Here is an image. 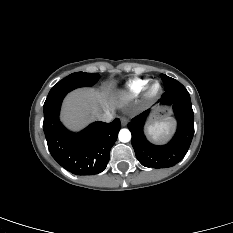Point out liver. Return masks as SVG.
<instances>
[{
	"label": "liver",
	"mask_w": 233,
	"mask_h": 233,
	"mask_svg": "<svg viewBox=\"0 0 233 233\" xmlns=\"http://www.w3.org/2000/svg\"><path fill=\"white\" fill-rule=\"evenodd\" d=\"M124 100L121 98L117 101L109 89H77L64 101L62 121L69 129L78 131L95 120L98 114L106 110L114 113L115 108L122 106Z\"/></svg>",
	"instance_id": "liver-1"
}]
</instances>
